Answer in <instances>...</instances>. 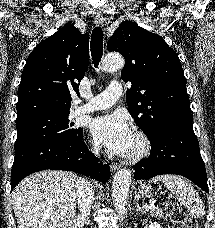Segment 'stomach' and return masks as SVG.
I'll use <instances>...</instances> for the list:
<instances>
[{
  "label": "stomach",
  "instance_id": "0dacf381",
  "mask_svg": "<svg viewBox=\"0 0 215 228\" xmlns=\"http://www.w3.org/2000/svg\"><path fill=\"white\" fill-rule=\"evenodd\" d=\"M138 184H140V186H138V194H140V196H150V194H152L151 186L144 184V182H138Z\"/></svg>",
  "mask_w": 215,
  "mask_h": 228
}]
</instances>
